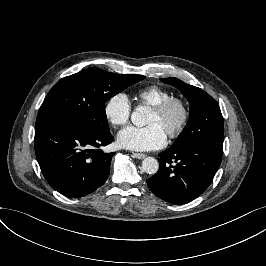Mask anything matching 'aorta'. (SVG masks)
<instances>
[{"label": "aorta", "mask_w": 266, "mask_h": 266, "mask_svg": "<svg viewBox=\"0 0 266 266\" xmlns=\"http://www.w3.org/2000/svg\"><path fill=\"white\" fill-rule=\"evenodd\" d=\"M147 113H149L147 106H136L135 110L131 113V122L136 127L147 125ZM142 169L147 174L155 175L159 170V162L153 157H147L142 161Z\"/></svg>", "instance_id": "obj_1"}]
</instances>
